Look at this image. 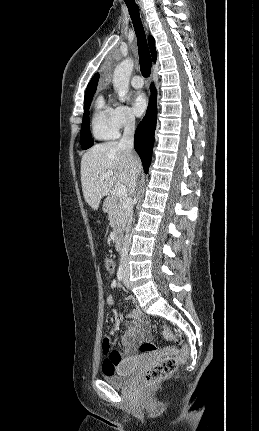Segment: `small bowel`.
Segmentation results:
<instances>
[{
    "label": "small bowel",
    "instance_id": "1",
    "mask_svg": "<svg viewBox=\"0 0 259 431\" xmlns=\"http://www.w3.org/2000/svg\"><path fill=\"white\" fill-rule=\"evenodd\" d=\"M105 301L109 306L114 305V298L111 295H108ZM126 317L128 318L126 321L127 329L121 338L124 350H110L108 354H105V359L103 362L104 372L107 369L113 371L121 364L133 361V359H135L138 355V346L148 337L149 325L142 318V313L140 310L134 309L130 311ZM104 340L110 342L109 337H105Z\"/></svg>",
    "mask_w": 259,
    "mask_h": 431
}]
</instances>
